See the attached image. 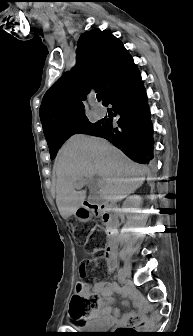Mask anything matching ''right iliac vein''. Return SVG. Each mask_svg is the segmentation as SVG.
<instances>
[{"label": "right iliac vein", "mask_w": 193, "mask_h": 336, "mask_svg": "<svg viewBox=\"0 0 193 336\" xmlns=\"http://www.w3.org/2000/svg\"><path fill=\"white\" fill-rule=\"evenodd\" d=\"M131 275V266H130V263L126 260L124 262V266L122 268V279H125L127 277H129Z\"/></svg>", "instance_id": "63e3f726"}]
</instances>
